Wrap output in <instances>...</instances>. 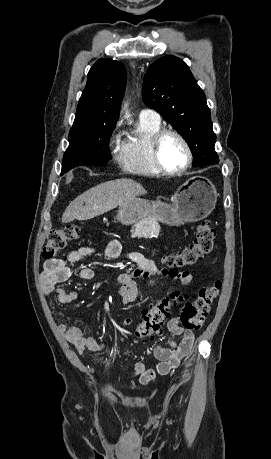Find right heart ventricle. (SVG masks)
I'll list each match as a JSON object with an SVG mask.
<instances>
[{"mask_svg": "<svg viewBox=\"0 0 271 459\" xmlns=\"http://www.w3.org/2000/svg\"><path fill=\"white\" fill-rule=\"evenodd\" d=\"M161 128V121L140 118L137 134L124 145L120 154V165L125 171L145 176L162 174L151 157L152 137Z\"/></svg>", "mask_w": 271, "mask_h": 459, "instance_id": "obj_1", "label": "right heart ventricle"}]
</instances>
